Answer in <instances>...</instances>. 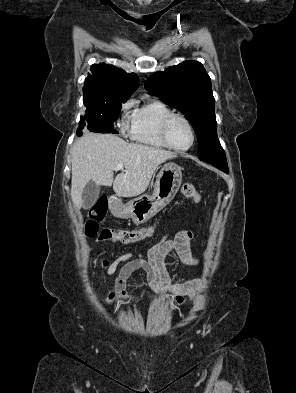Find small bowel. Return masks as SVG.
Returning <instances> with one entry per match:
<instances>
[{"instance_id": "1", "label": "small bowel", "mask_w": 296, "mask_h": 393, "mask_svg": "<svg viewBox=\"0 0 296 393\" xmlns=\"http://www.w3.org/2000/svg\"><path fill=\"white\" fill-rule=\"evenodd\" d=\"M194 237L191 230H182L176 233L164 235L146 255L126 253L117 260L109 262L103 261V267L108 275H113L119 269L116 278V289L109 292L106 300L107 306H118L119 301L134 302L136 298L129 293L131 284L128 279L132 273L142 270L150 287L158 294L175 295L172 304L173 309H177L185 300L186 296H191L199 285L198 280L184 283L172 284L165 268L164 259L171 250H176L181 261L187 265H196L198 259L190 249V242Z\"/></svg>"}]
</instances>
